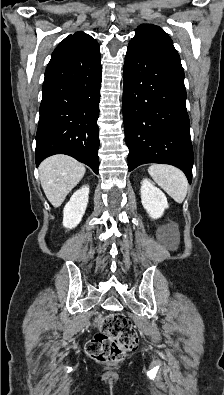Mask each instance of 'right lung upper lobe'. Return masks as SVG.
<instances>
[{
	"instance_id": "right-lung-upper-lobe-1",
	"label": "right lung upper lobe",
	"mask_w": 224,
	"mask_h": 395,
	"mask_svg": "<svg viewBox=\"0 0 224 395\" xmlns=\"http://www.w3.org/2000/svg\"><path fill=\"white\" fill-rule=\"evenodd\" d=\"M68 37H72L77 41L80 49L84 50L88 53H94L99 51V45L95 39H93L90 35L76 32L74 35H70Z\"/></svg>"
}]
</instances>
